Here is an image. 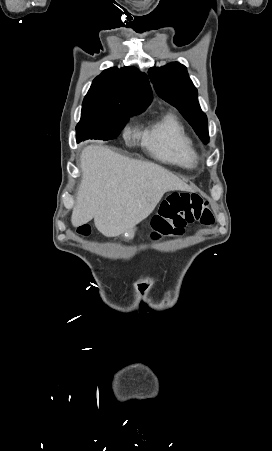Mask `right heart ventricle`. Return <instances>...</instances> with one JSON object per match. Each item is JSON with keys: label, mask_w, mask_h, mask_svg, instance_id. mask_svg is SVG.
Segmentation results:
<instances>
[{"label": "right heart ventricle", "mask_w": 272, "mask_h": 451, "mask_svg": "<svg viewBox=\"0 0 272 451\" xmlns=\"http://www.w3.org/2000/svg\"><path fill=\"white\" fill-rule=\"evenodd\" d=\"M143 142L153 155L167 163L174 164L186 171H192L197 165V154L184 129L172 115L143 135Z\"/></svg>", "instance_id": "e07e8e85"}]
</instances>
